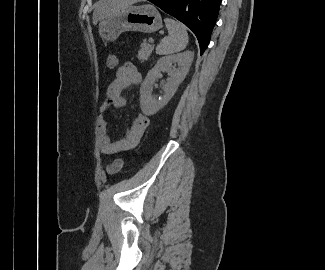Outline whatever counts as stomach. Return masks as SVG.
Returning a JSON list of instances; mask_svg holds the SVG:
<instances>
[{"label": "stomach", "mask_w": 325, "mask_h": 270, "mask_svg": "<svg viewBox=\"0 0 325 270\" xmlns=\"http://www.w3.org/2000/svg\"><path fill=\"white\" fill-rule=\"evenodd\" d=\"M162 28V18L152 5L130 6L106 17L99 24V35L115 41L125 31L155 32Z\"/></svg>", "instance_id": "stomach-1"}]
</instances>
